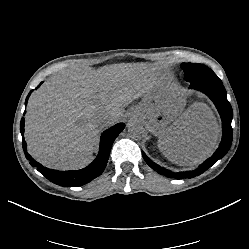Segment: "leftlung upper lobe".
I'll use <instances>...</instances> for the list:
<instances>
[{
  "instance_id": "5c2ea615",
  "label": "left lung upper lobe",
  "mask_w": 249,
  "mask_h": 249,
  "mask_svg": "<svg viewBox=\"0 0 249 249\" xmlns=\"http://www.w3.org/2000/svg\"><path fill=\"white\" fill-rule=\"evenodd\" d=\"M182 69L185 80L191 85L203 81L220 80L211 69L202 64L183 63Z\"/></svg>"
}]
</instances>
